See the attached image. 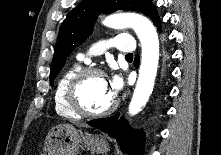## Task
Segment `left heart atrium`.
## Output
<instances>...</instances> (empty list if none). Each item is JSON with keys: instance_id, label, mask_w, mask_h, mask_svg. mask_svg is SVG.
I'll list each match as a JSON object with an SVG mask.
<instances>
[{"instance_id": "1", "label": "left heart atrium", "mask_w": 221, "mask_h": 155, "mask_svg": "<svg viewBox=\"0 0 221 155\" xmlns=\"http://www.w3.org/2000/svg\"><path fill=\"white\" fill-rule=\"evenodd\" d=\"M108 82L114 94H116L123 85L121 78L117 75H114L111 79L108 80Z\"/></svg>"}]
</instances>
